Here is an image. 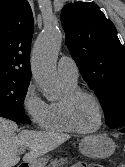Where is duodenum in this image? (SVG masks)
Listing matches in <instances>:
<instances>
[{
  "instance_id": "duodenum-1",
  "label": "duodenum",
  "mask_w": 125,
  "mask_h": 167,
  "mask_svg": "<svg viewBox=\"0 0 125 167\" xmlns=\"http://www.w3.org/2000/svg\"><path fill=\"white\" fill-rule=\"evenodd\" d=\"M18 167H28L26 163L20 164Z\"/></svg>"
}]
</instances>
